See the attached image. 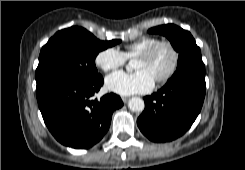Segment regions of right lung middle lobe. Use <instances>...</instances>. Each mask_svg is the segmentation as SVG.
<instances>
[{
	"mask_svg": "<svg viewBox=\"0 0 245 170\" xmlns=\"http://www.w3.org/2000/svg\"><path fill=\"white\" fill-rule=\"evenodd\" d=\"M121 40L100 41L82 27L58 31L41 49L36 69V94L68 82L99 78L97 54Z\"/></svg>",
	"mask_w": 245,
	"mask_h": 170,
	"instance_id": "1",
	"label": "right lung middle lobe"
}]
</instances>
